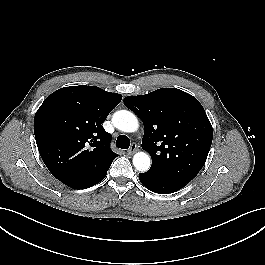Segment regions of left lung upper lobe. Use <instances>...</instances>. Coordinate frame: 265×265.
I'll use <instances>...</instances> for the list:
<instances>
[{"label": "left lung upper lobe", "instance_id": "left-lung-upper-lobe-1", "mask_svg": "<svg viewBox=\"0 0 265 265\" xmlns=\"http://www.w3.org/2000/svg\"><path fill=\"white\" fill-rule=\"evenodd\" d=\"M144 123L142 148L152 158L147 171L187 185L204 166L213 138L212 125L199 101L175 88L124 98Z\"/></svg>", "mask_w": 265, "mask_h": 265}]
</instances>
